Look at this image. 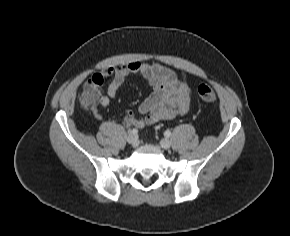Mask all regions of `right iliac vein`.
Returning a JSON list of instances; mask_svg holds the SVG:
<instances>
[{
  "instance_id": "right-iliac-vein-1",
  "label": "right iliac vein",
  "mask_w": 290,
  "mask_h": 236,
  "mask_svg": "<svg viewBox=\"0 0 290 236\" xmlns=\"http://www.w3.org/2000/svg\"><path fill=\"white\" fill-rule=\"evenodd\" d=\"M126 140L133 147L137 146V144H138L137 137L134 134H132V133L127 136Z\"/></svg>"
}]
</instances>
